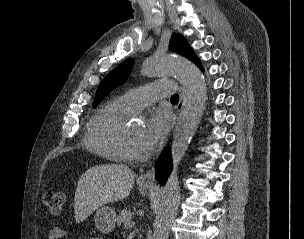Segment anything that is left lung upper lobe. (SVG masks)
<instances>
[{
    "instance_id": "1",
    "label": "left lung upper lobe",
    "mask_w": 304,
    "mask_h": 239,
    "mask_svg": "<svg viewBox=\"0 0 304 239\" xmlns=\"http://www.w3.org/2000/svg\"><path fill=\"white\" fill-rule=\"evenodd\" d=\"M170 50L179 53L196 65L200 62L195 52L190 47L186 39L180 34H173L169 43ZM134 60L127 59L114 70H112L100 83L95 94L93 106L95 107L105 96L109 94L115 87L122 84L128 77V74L133 67Z\"/></svg>"
}]
</instances>
